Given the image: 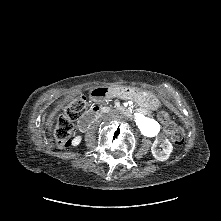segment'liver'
<instances>
[{"label": "liver", "instance_id": "6515ba94", "mask_svg": "<svg viewBox=\"0 0 221 221\" xmlns=\"http://www.w3.org/2000/svg\"><path fill=\"white\" fill-rule=\"evenodd\" d=\"M45 117H46V113L43 115V117H42V122H43V124L45 123Z\"/></svg>", "mask_w": 221, "mask_h": 221}]
</instances>
